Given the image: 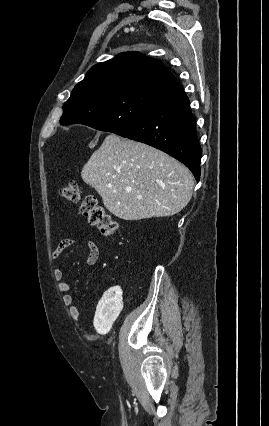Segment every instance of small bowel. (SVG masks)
I'll use <instances>...</instances> for the list:
<instances>
[{"mask_svg":"<svg viewBox=\"0 0 269 426\" xmlns=\"http://www.w3.org/2000/svg\"><path fill=\"white\" fill-rule=\"evenodd\" d=\"M75 244L74 238H64L60 240L54 251L52 252L51 256L52 259H57L59 256L69 247L73 246ZM87 255H86V264L87 265H94L98 258H99V248L97 243L94 240H88L87 243ZM54 279L57 282L58 290L62 293H65L63 296V304L68 307L71 311L72 315H78L79 311L78 308L74 304V298L69 293L70 291V285L68 282L64 280V270L59 267L55 269L54 271Z\"/></svg>","mask_w":269,"mask_h":426,"instance_id":"small-bowel-1","label":"small bowel"}]
</instances>
